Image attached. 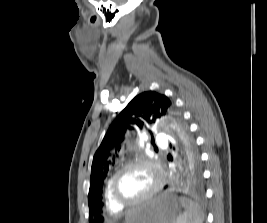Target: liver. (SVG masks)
<instances>
[{"label":"liver","instance_id":"obj_1","mask_svg":"<svg viewBox=\"0 0 267 223\" xmlns=\"http://www.w3.org/2000/svg\"><path fill=\"white\" fill-rule=\"evenodd\" d=\"M130 212H131V211H130ZM130 212H128V213L126 214V218L129 216Z\"/></svg>","mask_w":267,"mask_h":223}]
</instances>
